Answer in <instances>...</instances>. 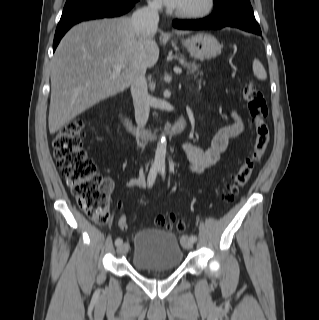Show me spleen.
Wrapping results in <instances>:
<instances>
[{
	"label": "spleen",
	"instance_id": "3e777b00",
	"mask_svg": "<svg viewBox=\"0 0 319 320\" xmlns=\"http://www.w3.org/2000/svg\"><path fill=\"white\" fill-rule=\"evenodd\" d=\"M253 73L259 80H266L267 73L262 65V63L258 59H254L253 61Z\"/></svg>",
	"mask_w": 319,
	"mask_h": 320
}]
</instances>
